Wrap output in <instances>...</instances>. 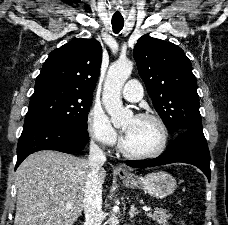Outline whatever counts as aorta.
Masks as SVG:
<instances>
[{
	"label": "aorta",
	"instance_id": "762f6f07",
	"mask_svg": "<svg viewBox=\"0 0 228 225\" xmlns=\"http://www.w3.org/2000/svg\"><path fill=\"white\" fill-rule=\"evenodd\" d=\"M132 70L133 62L131 60H116L108 68L102 98L114 127H121L126 119L133 117L132 110L124 108L121 98V88ZM111 225H118V217L115 215H111Z\"/></svg>",
	"mask_w": 228,
	"mask_h": 225
}]
</instances>
